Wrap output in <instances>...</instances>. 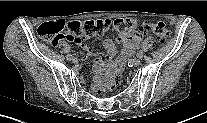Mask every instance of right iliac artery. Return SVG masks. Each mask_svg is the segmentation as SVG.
Here are the masks:
<instances>
[{
	"mask_svg": "<svg viewBox=\"0 0 207 123\" xmlns=\"http://www.w3.org/2000/svg\"><path fill=\"white\" fill-rule=\"evenodd\" d=\"M66 58H67V60H71V58H72V55L71 54H68L67 56H66Z\"/></svg>",
	"mask_w": 207,
	"mask_h": 123,
	"instance_id": "82829eb1",
	"label": "right iliac artery"
}]
</instances>
